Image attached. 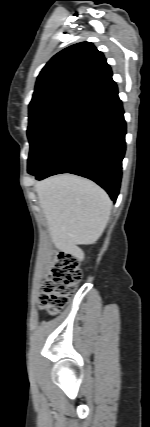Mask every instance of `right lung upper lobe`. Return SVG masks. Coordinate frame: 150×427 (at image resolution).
Wrapping results in <instances>:
<instances>
[{"mask_svg":"<svg viewBox=\"0 0 150 427\" xmlns=\"http://www.w3.org/2000/svg\"><path fill=\"white\" fill-rule=\"evenodd\" d=\"M115 86L102 52L81 42L57 53L42 69L29 113L53 105L81 108Z\"/></svg>","mask_w":150,"mask_h":427,"instance_id":"cb5924a9","label":"right lung upper lobe"}]
</instances>
